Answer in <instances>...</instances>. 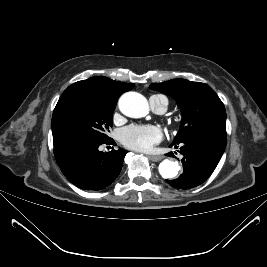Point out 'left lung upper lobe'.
Here are the masks:
<instances>
[{
	"instance_id": "5c2ea615",
	"label": "left lung upper lobe",
	"mask_w": 267,
	"mask_h": 267,
	"mask_svg": "<svg viewBox=\"0 0 267 267\" xmlns=\"http://www.w3.org/2000/svg\"><path fill=\"white\" fill-rule=\"evenodd\" d=\"M150 88L168 94L181 108L183 119L173 144L202 135L227 136L224 105L207 84L173 79Z\"/></svg>"
}]
</instances>
